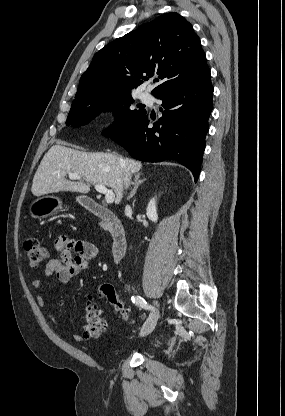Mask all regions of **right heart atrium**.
I'll return each instance as SVG.
<instances>
[{"label": "right heart atrium", "mask_w": 285, "mask_h": 416, "mask_svg": "<svg viewBox=\"0 0 285 416\" xmlns=\"http://www.w3.org/2000/svg\"><path fill=\"white\" fill-rule=\"evenodd\" d=\"M111 127L110 124H106V129H109Z\"/></svg>", "instance_id": "obj_1"}]
</instances>
